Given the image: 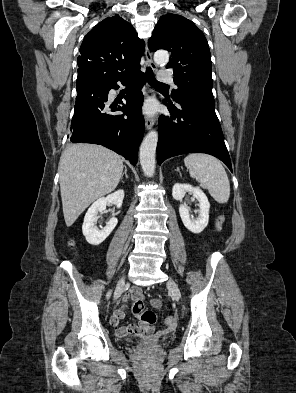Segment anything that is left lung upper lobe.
I'll list each match as a JSON object with an SVG mask.
<instances>
[{
	"mask_svg": "<svg viewBox=\"0 0 296 393\" xmlns=\"http://www.w3.org/2000/svg\"><path fill=\"white\" fill-rule=\"evenodd\" d=\"M148 46L152 52L158 49L171 52L166 67H173L174 82L178 89L172 91L171 97L176 102L189 94L213 96L209 46L204 34L193 22L175 14L162 16Z\"/></svg>",
	"mask_w": 296,
	"mask_h": 393,
	"instance_id": "1",
	"label": "left lung upper lobe"
}]
</instances>
